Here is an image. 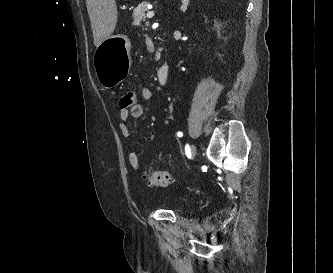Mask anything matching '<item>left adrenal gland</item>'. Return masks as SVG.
Wrapping results in <instances>:
<instances>
[{
  "label": "left adrenal gland",
  "mask_w": 333,
  "mask_h": 273,
  "mask_svg": "<svg viewBox=\"0 0 333 273\" xmlns=\"http://www.w3.org/2000/svg\"><path fill=\"white\" fill-rule=\"evenodd\" d=\"M189 1L190 0H181L182 5H181L180 9H181L182 12H185L187 10V7L189 5Z\"/></svg>",
  "instance_id": "1"
}]
</instances>
